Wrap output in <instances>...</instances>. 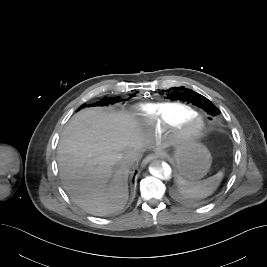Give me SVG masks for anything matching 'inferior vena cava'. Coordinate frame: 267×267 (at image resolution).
I'll return each mask as SVG.
<instances>
[{
  "label": "inferior vena cava",
  "instance_id": "inferior-vena-cava-1",
  "mask_svg": "<svg viewBox=\"0 0 267 267\" xmlns=\"http://www.w3.org/2000/svg\"><path fill=\"white\" fill-rule=\"evenodd\" d=\"M139 159L138 153L136 152H130L127 153L124 156V163L128 166V167H132Z\"/></svg>",
  "mask_w": 267,
  "mask_h": 267
}]
</instances>
